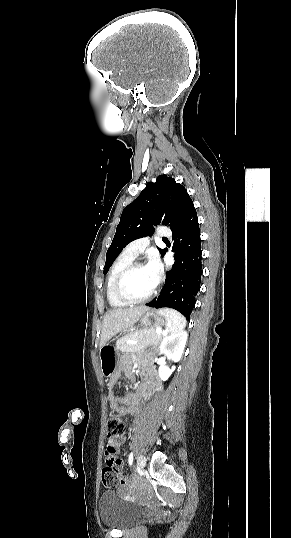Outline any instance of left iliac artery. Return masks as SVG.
<instances>
[{"mask_svg":"<svg viewBox=\"0 0 291 538\" xmlns=\"http://www.w3.org/2000/svg\"><path fill=\"white\" fill-rule=\"evenodd\" d=\"M129 465L131 466L133 463V453L131 452L128 459Z\"/></svg>","mask_w":291,"mask_h":538,"instance_id":"obj_1","label":"left iliac artery"}]
</instances>
